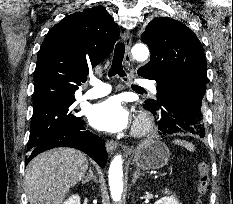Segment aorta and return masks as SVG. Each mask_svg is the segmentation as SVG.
Here are the masks:
<instances>
[{
  "label": "aorta",
  "mask_w": 233,
  "mask_h": 204,
  "mask_svg": "<svg viewBox=\"0 0 233 204\" xmlns=\"http://www.w3.org/2000/svg\"><path fill=\"white\" fill-rule=\"evenodd\" d=\"M132 56L138 61H144L149 56V50L145 44L139 43L133 46ZM123 160L121 155H117L112 160L109 167V186L113 201L119 202L123 191Z\"/></svg>",
  "instance_id": "aorta-1"
}]
</instances>
